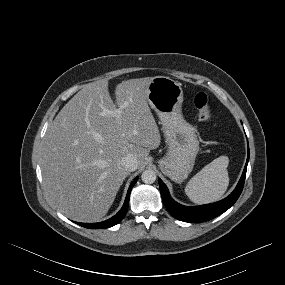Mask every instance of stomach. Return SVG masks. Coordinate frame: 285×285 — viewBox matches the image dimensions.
Returning a JSON list of instances; mask_svg holds the SVG:
<instances>
[{"instance_id": "0dacf381", "label": "stomach", "mask_w": 285, "mask_h": 285, "mask_svg": "<svg viewBox=\"0 0 285 285\" xmlns=\"http://www.w3.org/2000/svg\"><path fill=\"white\" fill-rule=\"evenodd\" d=\"M147 100L163 127L167 153L159 161L161 171L181 182L192 171L199 142L194 127L183 117L181 84L166 76H156L148 87Z\"/></svg>"}]
</instances>
